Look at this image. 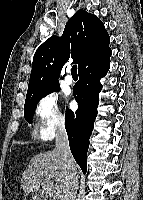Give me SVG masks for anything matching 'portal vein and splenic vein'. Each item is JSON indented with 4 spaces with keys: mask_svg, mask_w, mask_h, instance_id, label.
<instances>
[{
    "mask_svg": "<svg viewBox=\"0 0 143 200\" xmlns=\"http://www.w3.org/2000/svg\"><path fill=\"white\" fill-rule=\"evenodd\" d=\"M42 189H43V193L45 194V197H52V193L49 192V190L46 188V186L44 184H42Z\"/></svg>",
    "mask_w": 143,
    "mask_h": 200,
    "instance_id": "1",
    "label": "portal vein and splenic vein"
}]
</instances>
